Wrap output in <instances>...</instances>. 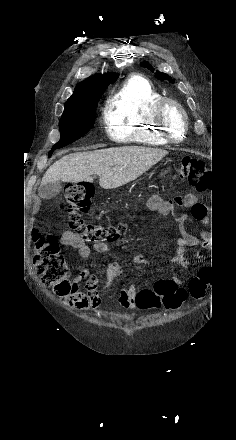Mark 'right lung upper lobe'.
I'll use <instances>...</instances> for the list:
<instances>
[{
    "instance_id": "obj_1",
    "label": "right lung upper lobe",
    "mask_w": 236,
    "mask_h": 440,
    "mask_svg": "<svg viewBox=\"0 0 236 440\" xmlns=\"http://www.w3.org/2000/svg\"><path fill=\"white\" fill-rule=\"evenodd\" d=\"M117 77V73L93 75L76 86L73 95L67 102L102 94L108 85L116 81Z\"/></svg>"
}]
</instances>
